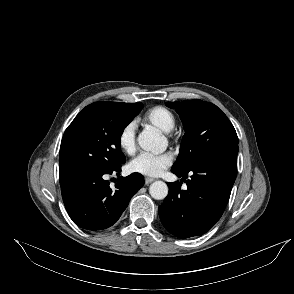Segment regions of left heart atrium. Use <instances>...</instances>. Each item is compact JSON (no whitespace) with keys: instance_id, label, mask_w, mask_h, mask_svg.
Masks as SVG:
<instances>
[{"instance_id":"obj_1","label":"left heart atrium","mask_w":294,"mask_h":294,"mask_svg":"<svg viewBox=\"0 0 294 294\" xmlns=\"http://www.w3.org/2000/svg\"><path fill=\"white\" fill-rule=\"evenodd\" d=\"M172 164V156L168 153L160 155L140 154L133 158L129 164L130 172L156 177Z\"/></svg>"}]
</instances>
